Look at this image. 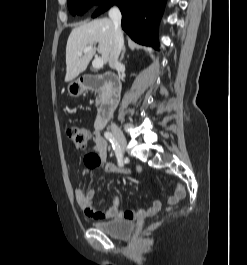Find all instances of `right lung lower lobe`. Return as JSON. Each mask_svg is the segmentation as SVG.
Returning a JSON list of instances; mask_svg holds the SVG:
<instances>
[{"label": "right lung lower lobe", "mask_w": 247, "mask_h": 265, "mask_svg": "<svg viewBox=\"0 0 247 265\" xmlns=\"http://www.w3.org/2000/svg\"><path fill=\"white\" fill-rule=\"evenodd\" d=\"M166 0H108L97 9L96 17L113 4L122 13L123 30L137 43L158 49L157 28Z\"/></svg>", "instance_id": "obj_1"}]
</instances>
